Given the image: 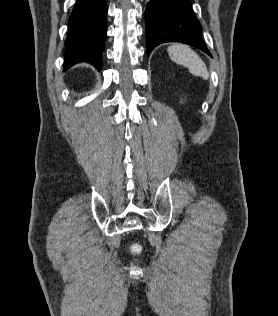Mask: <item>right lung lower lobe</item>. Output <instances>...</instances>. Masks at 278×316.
I'll return each instance as SVG.
<instances>
[{
  "label": "right lung lower lobe",
  "mask_w": 278,
  "mask_h": 316,
  "mask_svg": "<svg viewBox=\"0 0 278 316\" xmlns=\"http://www.w3.org/2000/svg\"><path fill=\"white\" fill-rule=\"evenodd\" d=\"M106 14L104 0H77L69 18L64 71L79 62H87L97 70L101 69Z\"/></svg>",
  "instance_id": "98d812e1"
}]
</instances>
